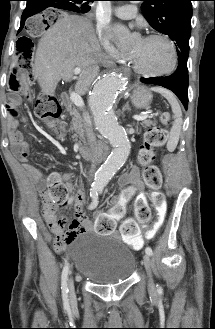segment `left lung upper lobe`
<instances>
[{"label":"left lung upper lobe","instance_id":"1","mask_svg":"<svg viewBox=\"0 0 215 329\" xmlns=\"http://www.w3.org/2000/svg\"><path fill=\"white\" fill-rule=\"evenodd\" d=\"M142 1V11L149 24L175 42L179 57L188 56L192 0Z\"/></svg>","mask_w":215,"mask_h":329}]
</instances>
